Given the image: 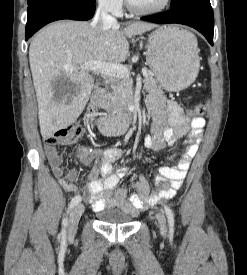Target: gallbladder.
<instances>
[{"label":"gallbladder","instance_id":"bac80fb5","mask_svg":"<svg viewBox=\"0 0 247 275\" xmlns=\"http://www.w3.org/2000/svg\"><path fill=\"white\" fill-rule=\"evenodd\" d=\"M53 89L57 94L71 93L73 91L72 85L65 77H60L56 82L52 84Z\"/></svg>","mask_w":247,"mask_h":275}]
</instances>
